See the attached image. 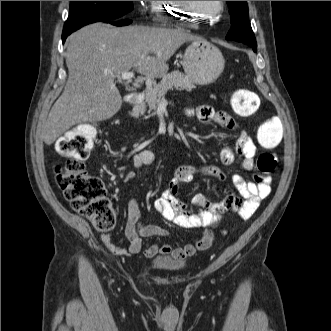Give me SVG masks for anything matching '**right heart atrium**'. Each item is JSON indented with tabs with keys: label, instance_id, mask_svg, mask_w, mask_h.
Returning a JSON list of instances; mask_svg holds the SVG:
<instances>
[{
	"label": "right heart atrium",
	"instance_id": "1",
	"mask_svg": "<svg viewBox=\"0 0 331 331\" xmlns=\"http://www.w3.org/2000/svg\"><path fill=\"white\" fill-rule=\"evenodd\" d=\"M144 2H145V6L151 7V6H153V4H154L155 1H144Z\"/></svg>",
	"mask_w": 331,
	"mask_h": 331
}]
</instances>
